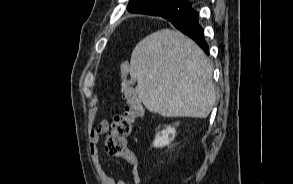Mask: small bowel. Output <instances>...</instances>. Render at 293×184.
Segmentation results:
<instances>
[{"instance_id":"obj_1","label":"small bowel","mask_w":293,"mask_h":184,"mask_svg":"<svg viewBox=\"0 0 293 184\" xmlns=\"http://www.w3.org/2000/svg\"><path fill=\"white\" fill-rule=\"evenodd\" d=\"M109 130V122L107 119H102L98 126L90 132V151L92 154V160L94 166L100 176L102 184H128L125 180H115L113 177L109 176L103 167V162L100 154V149L98 147V142L100 138L107 133ZM131 165V175L135 184L140 183V173L138 169L137 161L134 159L130 162Z\"/></svg>"}]
</instances>
